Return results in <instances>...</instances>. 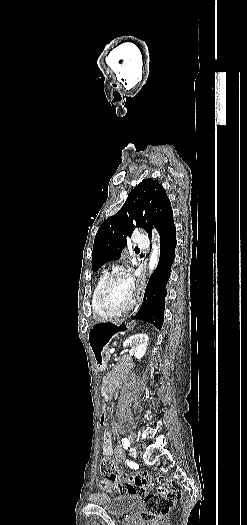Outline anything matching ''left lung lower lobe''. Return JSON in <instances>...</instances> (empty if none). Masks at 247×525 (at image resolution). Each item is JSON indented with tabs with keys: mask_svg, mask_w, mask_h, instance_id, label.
I'll use <instances>...</instances> for the list:
<instances>
[{
	"mask_svg": "<svg viewBox=\"0 0 247 525\" xmlns=\"http://www.w3.org/2000/svg\"><path fill=\"white\" fill-rule=\"evenodd\" d=\"M160 235V259L158 266L147 284L143 303L132 319L143 320L161 329L164 320L166 284L175 257L176 227L173 214L168 216L157 228ZM151 238V236H149Z\"/></svg>",
	"mask_w": 247,
	"mask_h": 525,
	"instance_id": "1",
	"label": "left lung lower lobe"
}]
</instances>
